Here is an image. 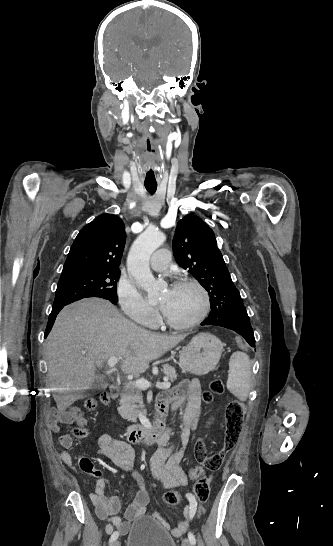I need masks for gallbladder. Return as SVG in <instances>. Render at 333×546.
Returning a JSON list of instances; mask_svg holds the SVG:
<instances>
[{
  "instance_id": "bac80fb5",
  "label": "gallbladder",
  "mask_w": 333,
  "mask_h": 546,
  "mask_svg": "<svg viewBox=\"0 0 333 546\" xmlns=\"http://www.w3.org/2000/svg\"><path fill=\"white\" fill-rule=\"evenodd\" d=\"M108 383L102 377H97L91 387V391L104 390L107 387Z\"/></svg>"
}]
</instances>
